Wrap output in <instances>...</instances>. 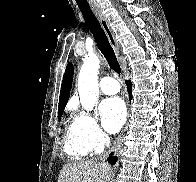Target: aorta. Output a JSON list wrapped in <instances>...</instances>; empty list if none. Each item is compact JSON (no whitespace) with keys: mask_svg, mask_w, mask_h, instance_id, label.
I'll use <instances>...</instances> for the list:
<instances>
[{"mask_svg":"<svg viewBox=\"0 0 196 182\" xmlns=\"http://www.w3.org/2000/svg\"><path fill=\"white\" fill-rule=\"evenodd\" d=\"M100 60L97 55H87L78 77V91L82 107L92 111L98 95V69Z\"/></svg>","mask_w":196,"mask_h":182,"instance_id":"762f6f07","label":"aorta"}]
</instances>
